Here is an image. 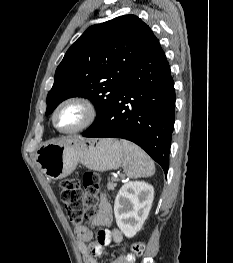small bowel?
Wrapping results in <instances>:
<instances>
[{"mask_svg":"<svg viewBox=\"0 0 233 263\" xmlns=\"http://www.w3.org/2000/svg\"><path fill=\"white\" fill-rule=\"evenodd\" d=\"M89 222L91 226L100 228L97 236L93 240V233L87 225H76L77 247L84 263H100L98 258L102 254L103 247L109 245L111 242L120 244L123 240L120 230L106 229L113 222V211L111 204L104 195L100 197L97 213ZM112 263H135V256L132 253L123 254Z\"/></svg>","mask_w":233,"mask_h":263,"instance_id":"obj_1","label":"small bowel"}]
</instances>
